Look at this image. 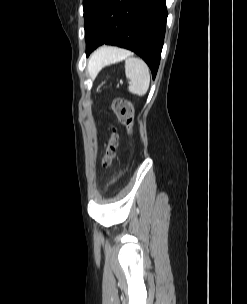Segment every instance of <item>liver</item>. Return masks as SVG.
<instances>
[{"label":"liver","instance_id":"6515ba94","mask_svg":"<svg viewBox=\"0 0 247 304\" xmlns=\"http://www.w3.org/2000/svg\"><path fill=\"white\" fill-rule=\"evenodd\" d=\"M119 52H126L125 50L111 48V47H103L98 50L94 56L89 61V72L95 73L97 72L106 62L108 57L113 54H118Z\"/></svg>","mask_w":247,"mask_h":304}]
</instances>
